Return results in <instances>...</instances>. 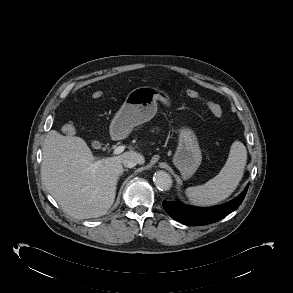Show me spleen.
Returning a JSON list of instances; mask_svg holds the SVG:
<instances>
[{"instance_id": "obj_1", "label": "spleen", "mask_w": 293, "mask_h": 293, "mask_svg": "<svg viewBox=\"0 0 293 293\" xmlns=\"http://www.w3.org/2000/svg\"><path fill=\"white\" fill-rule=\"evenodd\" d=\"M246 161V147L240 141L233 142L228 159L219 174L204 185L186 189L189 201L200 206H210L228 198L243 177Z\"/></svg>"}]
</instances>
